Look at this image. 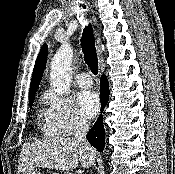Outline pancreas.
Instances as JSON below:
<instances>
[{
    "mask_svg": "<svg viewBox=\"0 0 175 174\" xmlns=\"http://www.w3.org/2000/svg\"><path fill=\"white\" fill-rule=\"evenodd\" d=\"M52 174H56V173H52ZM66 174H72V173H66Z\"/></svg>",
    "mask_w": 175,
    "mask_h": 174,
    "instance_id": "obj_1",
    "label": "pancreas"
}]
</instances>
